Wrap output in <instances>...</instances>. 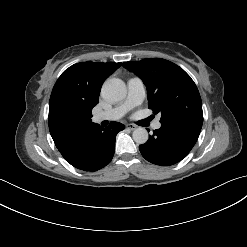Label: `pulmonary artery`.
I'll list each match as a JSON object with an SVG mask.
<instances>
[{"label": "pulmonary artery", "mask_w": 247, "mask_h": 247, "mask_svg": "<svg viewBox=\"0 0 247 247\" xmlns=\"http://www.w3.org/2000/svg\"><path fill=\"white\" fill-rule=\"evenodd\" d=\"M127 86L128 94L126 99L121 104L110 110L95 114L94 121L101 122L103 120H117L124 116V114L131 108L142 103L145 98V86L143 81L138 77H132L128 80ZM160 127L161 124L159 121H156L153 124L154 129H159Z\"/></svg>", "instance_id": "e3ab8cb5"}]
</instances>
